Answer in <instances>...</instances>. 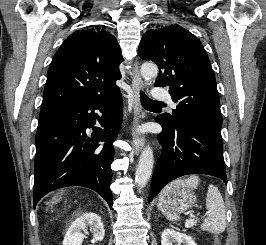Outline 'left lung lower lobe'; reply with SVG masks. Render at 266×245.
Segmentation results:
<instances>
[{
  "mask_svg": "<svg viewBox=\"0 0 266 245\" xmlns=\"http://www.w3.org/2000/svg\"><path fill=\"white\" fill-rule=\"evenodd\" d=\"M163 131L158 135L162 153L152 176L151 201L170 181L188 174H208L227 184L221 128L183 118L174 128L156 117Z\"/></svg>",
  "mask_w": 266,
  "mask_h": 245,
  "instance_id": "1",
  "label": "left lung lower lobe"
}]
</instances>
